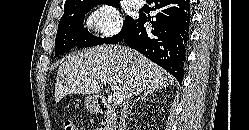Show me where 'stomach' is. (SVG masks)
<instances>
[{"instance_id":"stomach-1","label":"stomach","mask_w":249,"mask_h":130,"mask_svg":"<svg viewBox=\"0 0 249 130\" xmlns=\"http://www.w3.org/2000/svg\"><path fill=\"white\" fill-rule=\"evenodd\" d=\"M84 106L89 112H97L99 109L98 98L96 96H87L84 100Z\"/></svg>"}]
</instances>
